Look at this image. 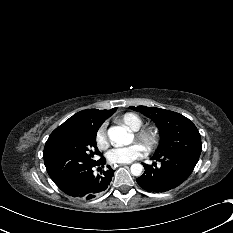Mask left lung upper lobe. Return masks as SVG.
<instances>
[{"label":"left lung upper lobe","instance_id":"left-lung-upper-lobe-1","mask_svg":"<svg viewBox=\"0 0 233 233\" xmlns=\"http://www.w3.org/2000/svg\"><path fill=\"white\" fill-rule=\"evenodd\" d=\"M151 118L158 126L160 142L155 154H178L198 162L202 143L196 126L183 115L155 107H130Z\"/></svg>","mask_w":233,"mask_h":233}]
</instances>
